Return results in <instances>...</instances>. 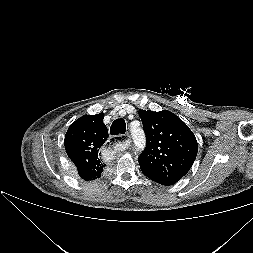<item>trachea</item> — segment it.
I'll return each mask as SVG.
<instances>
[{
    "mask_svg": "<svg viewBox=\"0 0 253 253\" xmlns=\"http://www.w3.org/2000/svg\"><path fill=\"white\" fill-rule=\"evenodd\" d=\"M125 131H126V123L123 119H116L110 127L111 135L125 134Z\"/></svg>",
    "mask_w": 253,
    "mask_h": 253,
    "instance_id": "obj_1",
    "label": "trachea"
}]
</instances>
